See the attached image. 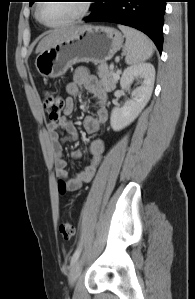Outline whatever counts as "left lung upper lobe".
Masks as SVG:
<instances>
[{
    "label": "left lung upper lobe",
    "instance_id": "5c2ea615",
    "mask_svg": "<svg viewBox=\"0 0 195 299\" xmlns=\"http://www.w3.org/2000/svg\"><path fill=\"white\" fill-rule=\"evenodd\" d=\"M29 1H30V6H31L35 0H29Z\"/></svg>",
    "mask_w": 195,
    "mask_h": 299
}]
</instances>
